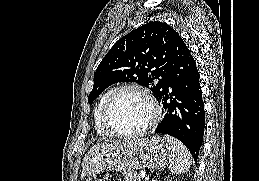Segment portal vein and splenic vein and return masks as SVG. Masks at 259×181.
<instances>
[{"mask_svg": "<svg viewBox=\"0 0 259 181\" xmlns=\"http://www.w3.org/2000/svg\"><path fill=\"white\" fill-rule=\"evenodd\" d=\"M145 176H146V172L145 171H141L140 172V177L143 179V178H145Z\"/></svg>", "mask_w": 259, "mask_h": 181, "instance_id": "obj_1", "label": "portal vein and splenic vein"}]
</instances>
